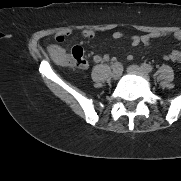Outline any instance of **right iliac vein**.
Masks as SVG:
<instances>
[{
  "label": "right iliac vein",
  "mask_w": 181,
  "mask_h": 181,
  "mask_svg": "<svg viewBox=\"0 0 181 181\" xmlns=\"http://www.w3.org/2000/svg\"><path fill=\"white\" fill-rule=\"evenodd\" d=\"M119 74H120V69H119V68H114V69H113V72H112V76H113L114 78H116V77L119 76Z\"/></svg>",
  "instance_id": "obj_1"
}]
</instances>
